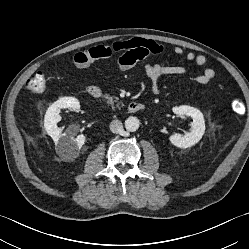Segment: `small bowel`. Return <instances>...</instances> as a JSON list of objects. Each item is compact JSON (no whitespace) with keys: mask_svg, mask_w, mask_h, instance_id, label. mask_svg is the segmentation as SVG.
<instances>
[{"mask_svg":"<svg viewBox=\"0 0 249 249\" xmlns=\"http://www.w3.org/2000/svg\"><path fill=\"white\" fill-rule=\"evenodd\" d=\"M164 48L153 40L134 38L124 41H115L110 45L96 46L79 52L75 55L74 61L77 67L86 71L91 64L98 59H108L111 56L118 55V67L121 71H127L139 62H145L153 55H159ZM176 55L183 54L180 46L174 48ZM185 58L189 62H194L201 73L196 75L194 80L199 85L208 84L215 76L212 68L207 66V59L202 54L188 52ZM144 71L150 81L151 92L155 95L161 93L160 79L164 76H180L187 73V68L180 65H167L164 62L148 63L144 65Z\"/></svg>","mask_w":249,"mask_h":249,"instance_id":"small-bowel-1","label":"small bowel"}]
</instances>
